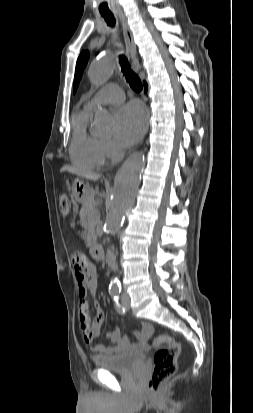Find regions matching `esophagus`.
Returning a JSON list of instances; mask_svg holds the SVG:
<instances>
[{
	"label": "esophagus",
	"instance_id": "1",
	"mask_svg": "<svg viewBox=\"0 0 253 413\" xmlns=\"http://www.w3.org/2000/svg\"><path fill=\"white\" fill-rule=\"evenodd\" d=\"M120 21L122 23V28H123V36H124V41H125V48H126V54L127 58L132 66V69L137 72L139 70V63L136 58V45L133 39L132 32L130 30V27L127 23L126 17L123 13L118 14Z\"/></svg>",
	"mask_w": 253,
	"mask_h": 413
}]
</instances>
